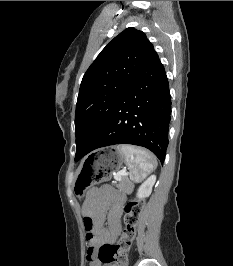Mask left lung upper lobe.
I'll list each match as a JSON object with an SVG mask.
<instances>
[{"label":"left lung upper lobe","mask_w":233,"mask_h":266,"mask_svg":"<svg viewBox=\"0 0 233 266\" xmlns=\"http://www.w3.org/2000/svg\"><path fill=\"white\" fill-rule=\"evenodd\" d=\"M146 35L127 28L97 56L83 76L75 113L78 161L105 125L121 96L154 53Z\"/></svg>","instance_id":"obj_1"}]
</instances>
